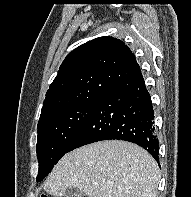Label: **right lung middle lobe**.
Segmentation results:
<instances>
[{
  "label": "right lung middle lobe",
  "instance_id": "dd1d6c3e",
  "mask_svg": "<svg viewBox=\"0 0 191 197\" xmlns=\"http://www.w3.org/2000/svg\"><path fill=\"white\" fill-rule=\"evenodd\" d=\"M97 102L75 105L57 111L38 122L36 146L39 162L37 181H41L52 170L91 114Z\"/></svg>",
  "mask_w": 191,
  "mask_h": 197
}]
</instances>
